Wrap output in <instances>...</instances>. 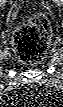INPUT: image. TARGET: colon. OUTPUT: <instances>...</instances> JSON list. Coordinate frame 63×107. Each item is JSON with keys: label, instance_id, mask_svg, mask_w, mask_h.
<instances>
[{"label": "colon", "instance_id": "5ec220e1", "mask_svg": "<svg viewBox=\"0 0 63 107\" xmlns=\"http://www.w3.org/2000/svg\"><path fill=\"white\" fill-rule=\"evenodd\" d=\"M50 36L47 18L42 14L32 15L13 35V46L19 60L26 64L40 62L48 49Z\"/></svg>", "mask_w": 63, "mask_h": 107}]
</instances>
